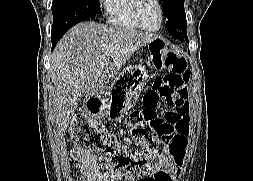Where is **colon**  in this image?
<instances>
[{
	"mask_svg": "<svg viewBox=\"0 0 253 181\" xmlns=\"http://www.w3.org/2000/svg\"><path fill=\"white\" fill-rule=\"evenodd\" d=\"M149 55H154L159 66L170 70L158 77L144 98V108L132 111L127 125L132 139L144 149L132 150L113 134L86 115H79L72 123V135L79 150L89 154L106 170L130 175H141L150 167H164L177 157L174 142L180 130L174 125L188 116L187 84L190 71L180 47H167L166 41H149ZM166 103L170 110L161 117L157 109Z\"/></svg>",
	"mask_w": 253,
	"mask_h": 181,
	"instance_id": "colon-1",
	"label": "colon"
}]
</instances>
